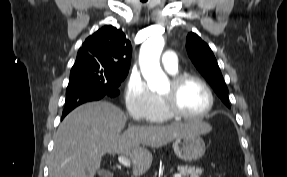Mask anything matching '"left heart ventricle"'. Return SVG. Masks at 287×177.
I'll return each instance as SVG.
<instances>
[{"label": "left heart ventricle", "instance_id": "obj_1", "mask_svg": "<svg viewBox=\"0 0 287 177\" xmlns=\"http://www.w3.org/2000/svg\"><path fill=\"white\" fill-rule=\"evenodd\" d=\"M171 83H169L161 92H169ZM209 103L208 95L205 89L197 82H188L180 90L177 96V106L183 112L189 114H200L205 111Z\"/></svg>", "mask_w": 287, "mask_h": 177}]
</instances>
